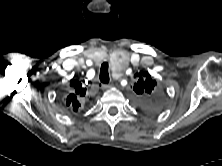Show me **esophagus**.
I'll return each instance as SVG.
<instances>
[{
  "instance_id": "34e87169",
  "label": "esophagus",
  "mask_w": 222,
  "mask_h": 166,
  "mask_svg": "<svg viewBox=\"0 0 222 166\" xmlns=\"http://www.w3.org/2000/svg\"><path fill=\"white\" fill-rule=\"evenodd\" d=\"M113 86V83H110V84H102L101 88L102 90H106V89H109Z\"/></svg>"
}]
</instances>
